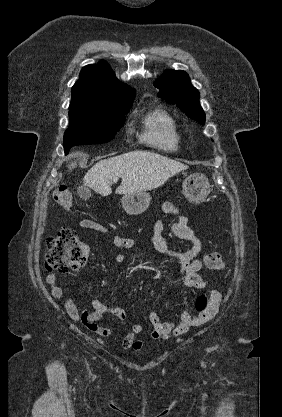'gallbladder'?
<instances>
[{
    "instance_id": "gallbladder-1",
    "label": "gallbladder",
    "mask_w": 282,
    "mask_h": 417,
    "mask_svg": "<svg viewBox=\"0 0 282 417\" xmlns=\"http://www.w3.org/2000/svg\"><path fill=\"white\" fill-rule=\"evenodd\" d=\"M77 192L80 198H89L91 196V190L87 186H79Z\"/></svg>"
}]
</instances>
